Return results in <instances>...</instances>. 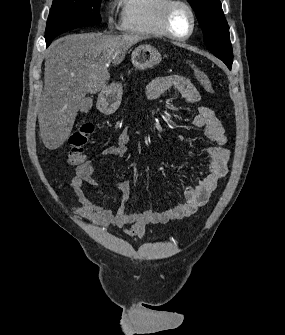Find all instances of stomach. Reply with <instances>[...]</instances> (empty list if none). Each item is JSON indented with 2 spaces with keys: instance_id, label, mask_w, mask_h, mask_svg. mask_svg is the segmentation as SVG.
I'll return each instance as SVG.
<instances>
[{
  "instance_id": "obj_1",
  "label": "stomach",
  "mask_w": 285,
  "mask_h": 335,
  "mask_svg": "<svg viewBox=\"0 0 285 335\" xmlns=\"http://www.w3.org/2000/svg\"><path fill=\"white\" fill-rule=\"evenodd\" d=\"M161 60V54L153 46H138L131 54V62L138 70L154 68V66L160 64ZM121 96L122 88H120V84H111L109 88L102 90L98 106H103L104 112H107V110L114 112L121 102Z\"/></svg>"
}]
</instances>
